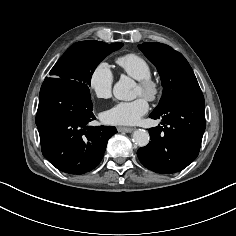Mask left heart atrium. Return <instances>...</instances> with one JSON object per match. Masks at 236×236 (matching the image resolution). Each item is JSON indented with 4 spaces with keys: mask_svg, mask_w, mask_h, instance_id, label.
I'll return each mask as SVG.
<instances>
[{
    "mask_svg": "<svg viewBox=\"0 0 236 236\" xmlns=\"http://www.w3.org/2000/svg\"><path fill=\"white\" fill-rule=\"evenodd\" d=\"M149 110L144 96L132 101H120L103 113V120L112 125H133L139 122Z\"/></svg>",
    "mask_w": 236,
    "mask_h": 236,
    "instance_id": "39dd6f15",
    "label": "left heart atrium"
}]
</instances>
